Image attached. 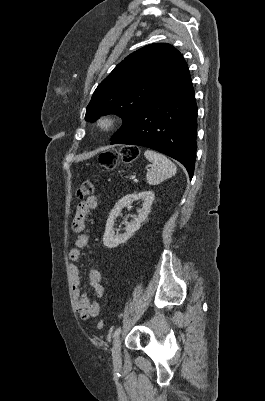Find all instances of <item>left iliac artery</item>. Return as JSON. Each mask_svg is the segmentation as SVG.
I'll list each match as a JSON object with an SVG mask.
<instances>
[{
  "instance_id": "44dca946",
  "label": "left iliac artery",
  "mask_w": 265,
  "mask_h": 401,
  "mask_svg": "<svg viewBox=\"0 0 265 401\" xmlns=\"http://www.w3.org/2000/svg\"><path fill=\"white\" fill-rule=\"evenodd\" d=\"M120 332H121V327H118L114 332L113 335L114 339H116L119 336Z\"/></svg>"
}]
</instances>
